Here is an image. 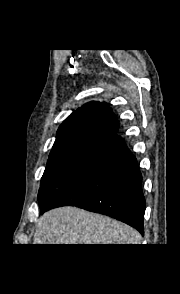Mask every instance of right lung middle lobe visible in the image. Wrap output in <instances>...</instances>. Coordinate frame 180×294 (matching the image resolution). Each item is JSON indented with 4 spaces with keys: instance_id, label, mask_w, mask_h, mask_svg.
<instances>
[{
    "instance_id": "dd1d6c3e",
    "label": "right lung middle lobe",
    "mask_w": 180,
    "mask_h": 294,
    "mask_svg": "<svg viewBox=\"0 0 180 294\" xmlns=\"http://www.w3.org/2000/svg\"><path fill=\"white\" fill-rule=\"evenodd\" d=\"M99 145L96 142L80 141L52 148L38 194L41 209L70 181Z\"/></svg>"
}]
</instances>
